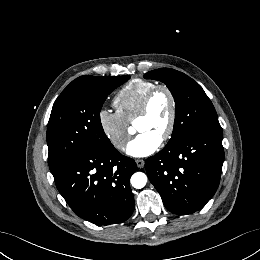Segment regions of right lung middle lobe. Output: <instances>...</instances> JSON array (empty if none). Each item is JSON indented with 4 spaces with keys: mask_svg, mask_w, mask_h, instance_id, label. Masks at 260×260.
I'll list each match as a JSON object with an SVG mask.
<instances>
[{
    "mask_svg": "<svg viewBox=\"0 0 260 260\" xmlns=\"http://www.w3.org/2000/svg\"><path fill=\"white\" fill-rule=\"evenodd\" d=\"M129 78L91 76L64 89L53 105L47 128L50 170L73 154L114 147L102 128L100 110L107 95Z\"/></svg>",
    "mask_w": 260,
    "mask_h": 260,
    "instance_id": "right-lung-middle-lobe-1",
    "label": "right lung middle lobe"
}]
</instances>
